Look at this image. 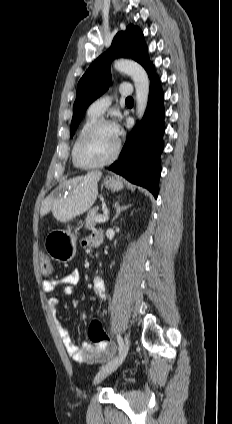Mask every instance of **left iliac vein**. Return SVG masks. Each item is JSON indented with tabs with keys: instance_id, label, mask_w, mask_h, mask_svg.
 <instances>
[{
	"instance_id": "obj_1",
	"label": "left iliac vein",
	"mask_w": 232,
	"mask_h": 424,
	"mask_svg": "<svg viewBox=\"0 0 232 424\" xmlns=\"http://www.w3.org/2000/svg\"><path fill=\"white\" fill-rule=\"evenodd\" d=\"M129 345H130V338H129V335L126 334L124 338V345L122 350L119 352L117 357H115L112 361H110L108 364H106L100 369V371L98 372L95 378L96 383H99L108 375L113 373L123 363L124 359L127 356Z\"/></svg>"
}]
</instances>
